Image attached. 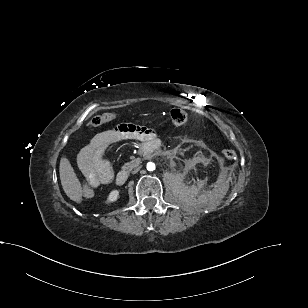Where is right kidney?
Instances as JSON below:
<instances>
[{
    "mask_svg": "<svg viewBox=\"0 0 308 308\" xmlns=\"http://www.w3.org/2000/svg\"><path fill=\"white\" fill-rule=\"evenodd\" d=\"M119 197V191L118 190H112L108 197H107V203L115 202Z\"/></svg>",
    "mask_w": 308,
    "mask_h": 308,
    "instance_id": "right-kidney-1",
    "label": "right kidney"
}]
</instances>
